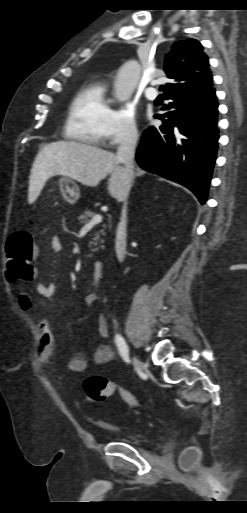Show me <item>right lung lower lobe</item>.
I'll return each instance as SVG.
<instances>
[{"label":"right lung lower lobe","instance_id":"1","mask_svg":"<svg viewBox=\"0 0 247 513\" xmlns=\"http://www.w3.org/2000/svg\"><path fill=\"white\" fill-rule=\"evenodd\" d=\"M170 110L144 131L139 165L189 188L204 204L218 149V102L214 88L197 94L165 95Z\"/></svg>","mask_w":247,"mask_h":513}]
</instances>
